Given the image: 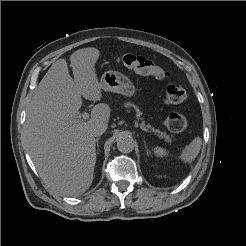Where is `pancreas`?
I'll return each instance as SVG.
<instances>
[{
	"label": "pancreas",
	"mask_w": 246,
	"mask_h": 246,
	"mask_svg": "<svg viewBox=\"0 0 246 246\" xmlns=\"http://www.w3.org/2000/svg\"><path fill=\"white\" fill-rule=\"evenodd\" d=\"M124 106L127 107V108L133 107L136 110V112H137V116L140 118L142 112L139 110V108L135 104H132V103L128 102V103H125ZM147 127L148 128H152L149 125ZM152 131L155 134L159 135L161 138H164L167 142L171 141V137L169 135H167L165 132H161L160 130L154 129V128H152Z\"/></svg>",
	"instance_id": "obj_1"
}]
</instances>
